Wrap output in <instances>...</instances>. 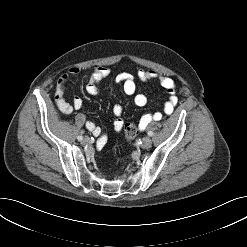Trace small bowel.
Instances as JSON below:
<instances>
[{
    "label": "small bowel",
    "mask_w": 247,
    "mask_h": 247,
    "mask_svg": "<svg viewBox=\"0 0 247 247\" xmlns=\"http://www.w3.org/2000/svg\"><path fill=\"white\" fill-rule=\"evenodd\" d=\"M80 68L72 67L69 70V74L76 76L80 73ZM111 73L108 67H97L90 75L89 80L85 86V90L90 95H96L98 93V85L107 78ZM136 78L141 82L147 83L151 81H159L160 85L169 94L168 100L164 104L163 112L165 115H171L177 104V96L175 95V83L173 79L169 77H162L154 70L139 69L135 74L129 72H121L115 77V82L122 85L125 94L133 98L134 103L143 107L147 103V97L142 93H137ZM69 81V75H64L57 87L55 94V102L61 112L64 114H70L74 110H78L83 105V100L79 96H75L71 102H68L64 98V89ZM124 106L120 103L113 107L114 121L113 125L117 132H120L124 126V120L122 114ZM163 117L161 112H153L144 114L139 120V129H145L151 122L158 121ZM86 128L98 138V146L103 147L107 142L106 135L102 134L101 128L94 122L87 121L85 123Z\"/></svg>",
    "instance_id": "obj_1"
}]
</instances>
